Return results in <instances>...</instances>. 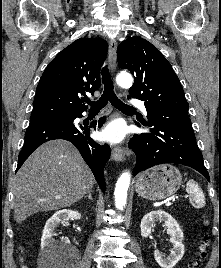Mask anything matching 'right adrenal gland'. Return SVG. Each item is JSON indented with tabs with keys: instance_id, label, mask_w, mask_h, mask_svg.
Returning <instances> with one entry per match:
<instances>
[{
	"instance_id": "2a0ac1e0",
	"label": "right adrenal gland",
	"mask_w": 221,
	"mask_h": 268,
	"mask_svg": "<svg viewBox=\"0 0 221 268\" xmlns=\"http://www.w3.org/2000/svg\"><path fill=\"white\" fill-rule=\"evenodd\" d=\"M87 197H88V199L93 200V198H92V191H89L88 192V195H85L84 196V198H87Z\"/></svg>"
}]
</instances>
